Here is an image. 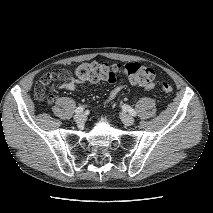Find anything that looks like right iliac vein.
<instances>
[{"instance_id": "1", "label": "right iliac vein", "mask_w": 213, "mask_h": 213, "mask_svg": "<svg viewBox=\"0 0 213 213\" xmlns=\"http://www.w3.org/2000/svg\"><path fill=\"white\" fill-rule=\"evenodd\" d=\"M74 120L77 123H83L86 120V116L83 113L76 114Z\"/></svg>"}]
</instances>
